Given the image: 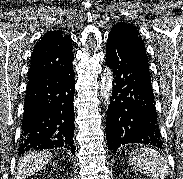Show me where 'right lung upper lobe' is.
Here are the masks:
<instances>
[{
    "instance_id": "1",
    "label": "right lung upper lobe",
    "mask_w": 183,
    "mask_h": 179,
    "mask_svg": "<svg viewBox=\"0 0 183 179\" xmlns=\"http://www.w3.org/2000/svg\"><path fill=\"white\" fill-rule=\"evenodd\" d=\"M73 60L70 37L61 31H48L34 46L28 78L71 75Z\"/></svg>"
}]
</instances>
